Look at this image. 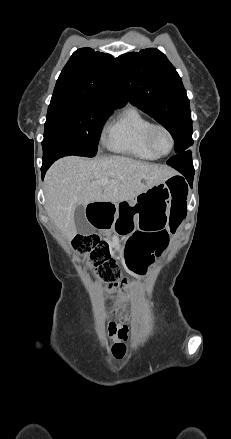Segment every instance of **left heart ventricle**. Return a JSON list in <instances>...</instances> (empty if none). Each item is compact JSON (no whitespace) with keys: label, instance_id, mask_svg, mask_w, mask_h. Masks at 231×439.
<instances>
[{"label":"left heart ventricle","instance_id":"left-heart-ventricle-1","mask_svg":"<svg viewBox=\"0 0 231 439\" xmlns=\"http://www.w3.org/2000/svg\"><path fill=\"white\" fill-rule=\"evenodd\" d=\"M154 146L159 153L168 151L170 142L168 136L162 130H157L153 136Z\"/></svg>","mask_w":231,"mask_h":439}]
</instances>
